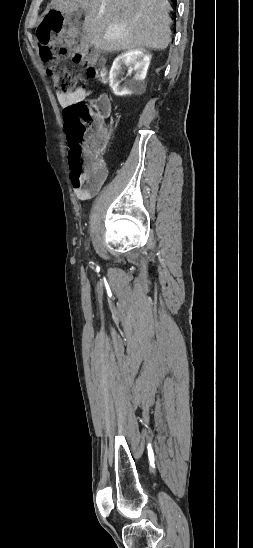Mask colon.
Returning <instances> with one entry per match:
<instances>
[{
  "label": "colon",
  "mask_w": 253,
  "mask_h": 548,
  "mask_svg": "<svg viewBox=\"0 0 253 548\" xmlns=\"http://www.w3.org/2000/svg\"><path fill=\"white\" fill-rule=\"evenodd\" d=\"M41 58L48 63L47 73L54 87L62 93L76 88V79L63 65L71 57L75 64L83 65L92 76L94 52L80 43H69L64 16L50 11L37 29ZM109 110L105 100H83L65 108L66 131L70 143L68 160L73 184L93 181L101 177L104 165L100 155L104 149L106 132L96 126V113L105 116Z\"/></svg>",
  "instance_id": "1"
}]
</instances>
